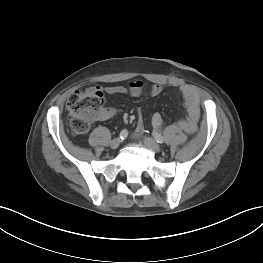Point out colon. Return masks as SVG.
<instances>
[{
  "instance_id": "1",
  "label": "colon",
  "mask_w": 263,
  "mask_h": 263,
  "mask_svg": "<svg viewBox=\"0 0 263 263\" xmlns=\"http://www.w3.org/2000/svg\"><path fill=\"white\" fill-rule=\"evenodd\" d=\"M103 93L95 89L76 91L68 99L67 111L70 116V129L74 135H83L91 123L103 112Z\"/></svg>"
}]
</instances>
